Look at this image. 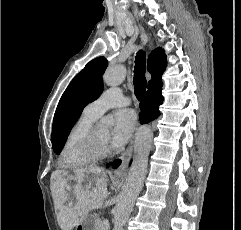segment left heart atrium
<instances>
[{
  "mask_svg": "<svg viewBox=\"0 0 241 230\" xmlns=\"http://www.w3.org/2000/svg\"><path fill=\"white\" fill-rule=\"evenodd\" d=\"M136 126V115L131 109H119L114 113V125L109 133L108 144L112 148L125 145Z\"/></svg>",
  "mask_w": 241,
  "mask_h": 230,
  "instance_id": "obj_1",
  "label": "left heart atrium"
}]
</instances>
